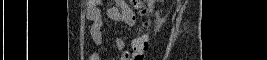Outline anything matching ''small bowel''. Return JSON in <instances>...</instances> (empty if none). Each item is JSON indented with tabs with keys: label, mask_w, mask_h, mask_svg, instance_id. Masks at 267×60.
<instances>
[{
	"label": "small bowel",
	"mask_w": 267,
	"mask_h": 60,
	"mask_svg": "<svg viewBox=\"0 0 267 60\" xmlns=\"http://www.w3.org/2000/svg\"><path fill=\"white\" fill-rule=\"evenodd\" d=\"M102 4L103 1L101 0H90L86 7L87 18L90 21V35L97 46H102L104 44V25L100 10ZM107 17L110 20L123 22L129 26L135 23L134 13L125 1H116V6L107 10ZM115 44L116 48L121 51L120 60H130L131 53L129 51H124L125 40L122 37H118ZM133 45L134 42L132 41V47ZM89 59L100 60L101 57L98 53H92Z\"/></svg>",
	"instance_id": "c3829d8e"
}]
</instances>
